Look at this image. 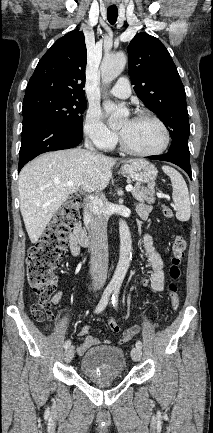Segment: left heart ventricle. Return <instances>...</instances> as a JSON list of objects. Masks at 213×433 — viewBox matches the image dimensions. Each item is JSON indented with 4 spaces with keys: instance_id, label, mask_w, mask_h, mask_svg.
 <instances>
[{
    "instance_id": "1",
    "label": "left heart ventricle",
    "mask_w": 213,
    "mask_h": 433,
    "mask_svg": "<svg viewBox=\"0 0 213 433\" xmlns=\"http://www.w3.org/2000/svg\"><path fill=\"white\" fill-rule=\"evenodd\" d=\"M118 131L131 148L143 152L157 150L164 140L160 127L146 119H125Z\"/></svg>"
}]
</instances>
